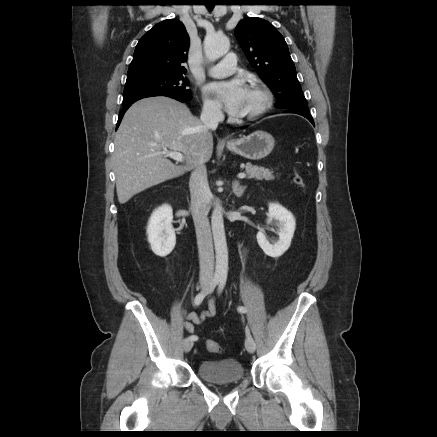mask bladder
Returning a JSON list of instances; mask_svg holds the SVG:
<instances>
[{"label": "bladder", "mask_w": 437, "mask_h": 437, "mask_svg": "<svg viewBox=\"0 0 437 437\" xmlns=\"http://www.w3.org/2000/svg\"><path fill=\"white\" fill-rule=\"evenodd\" d=\"M197 374L212 383L236 382L244 377V367L238 360H205L197 366Z\"/></svg>", "instance_id": "31cf9c89"}]
</instances>
